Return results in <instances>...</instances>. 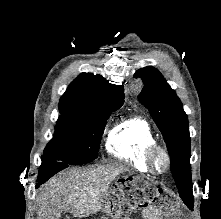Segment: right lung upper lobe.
Masks as SVG:
<instances>
[{
    "label": "right lung upper lobe",
    "mask_w": 221,
    "mask_h": 219,
    "mask_svg": "<svg viewBox=\"0 0 221 219\" xmlns=\"http://www.w3.org/2000/svg\"><path fill=\"white\" fill-rule=\"evenodd\" d=\"M124 102L122 86L109 83L100 75L80 74L59 101L62 115L98 118L116 111Z\"/></svg>",
    "instance_id": "obj_1"
}]
</instances>
